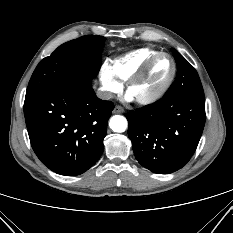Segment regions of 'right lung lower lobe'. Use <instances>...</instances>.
Instances as JSON below:
<instances>
[{"mask_svg": "<svg viewBox=\"0 0 233 233\" xmlns=\"http://www.w3.org/2000/svg\"><path fill=\"white\" fill-rule=\"evenodd\" d=\"M114 105L99 99L92 79L66 82L25 98L31 146L50 170L65 176L84 173L100 158Z\"/></svg>", "mask_w": 233, "mask_h": 233, "instance_id": "98d812e1", "label": "right lung lower lobe"}]
</instances>
